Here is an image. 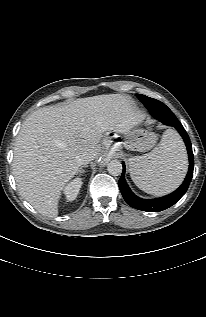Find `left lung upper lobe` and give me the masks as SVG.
<instances>
[{
  "label": "left lung upper lobe",
  "instance_id": "left-lung-upper-lobe-1",
  "mask_svg": "<svg viewBox=\"0 0 206 317\" xmlns=\"http://www.w3.org/2000/svg\"><path fill=\"white\" fill-rule=\"evenodd\" d=\"M136 96L138 97V99L145 105V107L147 108V104L146 103H160V104H163L162 102L156 100V99H153V98H150V97H147L145 95H141V94H136Z\"/></svg>",
  "mask_w": 206,
  "mask_h": 317
}]
</instances>
